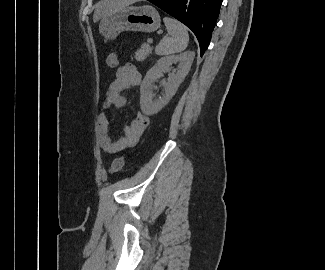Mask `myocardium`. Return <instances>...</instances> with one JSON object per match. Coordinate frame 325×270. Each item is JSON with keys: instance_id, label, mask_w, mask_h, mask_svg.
Listing matches in <instances>:
<instances>
[{"instance_id": "f54148a6", "label": "myocardium", "mask_w": 325, "mask_h": 270, "mask_svg": "<svg viewBox=\"0 0 325 270\" xmlns=\"http://www.w3.org/2000/svg\"><path fill=\"white\" fill-rule=\"evenodd\" d=\"M136 1H142V0H127V2H136Z\"/></svg>"}]
</instances>
